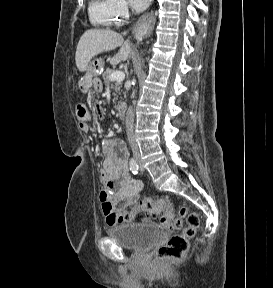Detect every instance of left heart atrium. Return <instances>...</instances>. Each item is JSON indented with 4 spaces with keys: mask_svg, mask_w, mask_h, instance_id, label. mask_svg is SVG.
Wrapping results in <instances>:
<instances>
[{
    "mask_svg": "<svg viewBox=\"0 0 273 288\" xmlns=\"http://www.w3.org/2000/svg\"><path fill=\"white\" fill-rule=\"evenodd\" d=\"M130 2L136 10L141 11L149 5L151 0H130Z\"/></svg>",
    "mask_w": 273,
    "mask_h": 288,
    "instance_id": "obj_1",
    "label": "left heart atrium"
}]
</instances>
